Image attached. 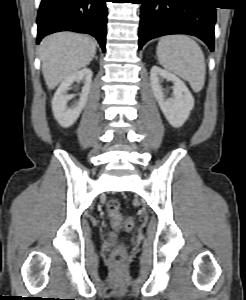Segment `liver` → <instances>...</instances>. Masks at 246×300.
I'll return each instance as SVG.
<instances>
[{
	"instance_id": "obj_1",
	"label": "liver",
	"mask_w": 246,
	"mask_h": 300,
	"mask_svg": "<svg viewBox=\"0 0 246 300\" xmlns=\"http://www.w3.org/2000/svg\"><path fill=\"white\" fill-rule=\"evenodd\" d=\"M96 54L89 36L59 32L45 37L39 47L42 73L49 89H54L70 74L86 67Z\"/></svg>"
}]
</instances>
